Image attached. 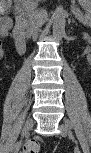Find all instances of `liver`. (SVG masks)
Segmentation results:
<instances>
[{
  "mask_svg": "<svg viewBox=\"0 0 91 153\" xmlns=\"http://www.w3.org/2000/svg\"><path fill=\"white\" fill-rule=\"evenodd\" d=\"M1 3L9 6L11 3V0H2ZM36 5H37L36 0H22V6L24 8L29 7L31 10V9H34L36 7Z\"/></svg>",
  "mask_w": 91,
  "mask_h": 153,
  "instance_id": "6515ba94",
  "label": "liver"
}]
</instances>
